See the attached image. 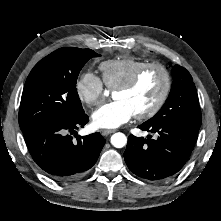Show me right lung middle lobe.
<instances>
[{
    "label": "right lung middle lobe",
    "mask_w": 221,
    "mask_h": 221,
    "mask_svg": "<svg viewBox=\"0 0 221 221\" xmlns=\"http://www.w3.org/2000/svg\"><path fill=\"white\" fill-rule=\"evenodd\" d=\"M100 55L91 49L60 48L31 70L22 93L19 125L22 133L52 121H71L82 114L76 82L86 62Z\"/></svg>",
    "instance_id": "obj_1"
}]
</instances>
